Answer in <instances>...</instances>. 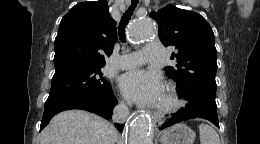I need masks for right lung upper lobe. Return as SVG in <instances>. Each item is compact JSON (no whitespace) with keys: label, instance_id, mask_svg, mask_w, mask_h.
<instances>
[{"label":"right lung upper lobe","instance_id":"1","mask_svg":"<svg viewBox=\"0 0 260 144\" xmlns=\"http://www.w3.org/2000/svg\"><path fill=\"white\" fill-rule=\"evenodd\" d=\"M117 40L107 0L81 2L61 20L55 38V69L70 64L105 65Z\"/></svg>","mask_w":260,"mask_h":144}]
</instances>
